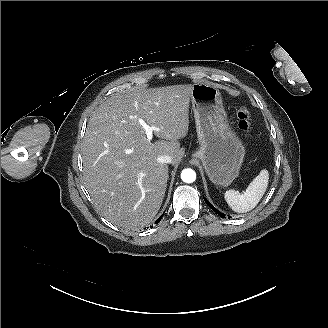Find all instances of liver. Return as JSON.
I'll list each match as a JSON object with an SVG mask.
<instances>
[{
    "mask_svg": "<svg viewBox=\"0 0 328 328\" xmlns=\"http://www.w3.org/2000/svg\"><path fill=\"white\" fill-rule=\"evenodd\" d=\"M191 85L134 88L107 99L94 111L83 144L84 182L96 209L126 230L149 224L165 197L169 165L179 161L190 129ZM161 128L152 142L139 123Z\"/></svg>",
    "mask_w": 328,
    "mask_h": 328,
    "instance_id": "6515ba94",
    "label": "liver"
}]
</instances>
